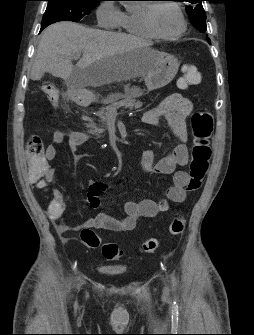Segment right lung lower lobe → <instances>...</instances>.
I'll use <instances>...</instances> for the list:
<instances>
[{
  "label": "right lung lower lobe",
  "mask_w": 254,
  "mask_h": 335,
  "mask_svg": "<svg viewBox=\"0 0 254 335\" xmlns=\"http://www.w3.org/2000/svg\"><path fill=\"white\" fill-rule=\"evenodd\" d=\"M48 25H46V26H42L41 27V30L40 31H42L44 28H46Z\"/></svg>",
  "instance_id": "1"
}]
</instances>
